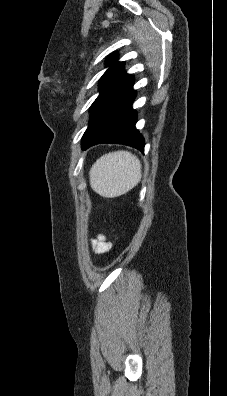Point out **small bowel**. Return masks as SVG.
<instances>
[{
    "mask_svg": "<svg viewBox=\"0 0 227 396\" xmlns=\"http://www.w3.org/2000/svg\"><path fill=\"white\" fill-rule=\"evenodd\" d=\"M91 243L95 254L106 253L111 248V243L106 241L103 235H98L97 238L92 239Z\"/></svg>",
    "mask_w": 227,
    "mask_h": 396,
    "instance_id": "c3829d8e",
    "label": "small bowel"
}]
</instances>
